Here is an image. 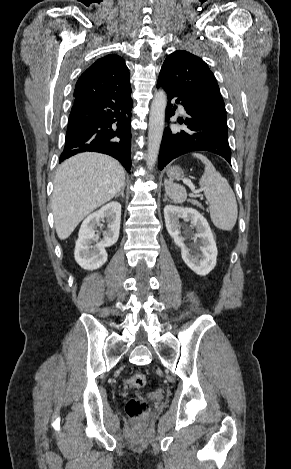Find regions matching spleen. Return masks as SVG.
Masks as SVG:
<instances>
[{
	"mask_svg": "<svg viewBox=\"0 0 291 469\" xmlns=\"http://www.w3.org/2000/svg\"><path fill=\"white\" fill-rule=\"evenodd\" d=\"M193 156L205 165L199 185L210 204L208 212L213 224L221 230H232L238 216L237 202L232 188L205 156L198 153H194ZM164 184L167 195L175 203L186 200L187 193L183 186L173 183L172 180H165Z\"/></svg>",
	"mask_w": 291,
	"mask_h": 469,
	"instance_id": "obj_1",
	"label": "spleen"
}]
</instances>
